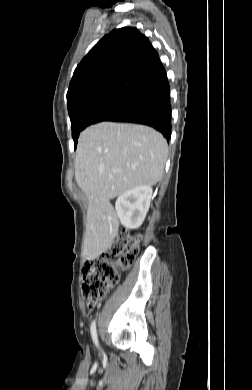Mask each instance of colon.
Wrapping results in <instances>:
<instances>
[{"instance_id":"obj_1","label":"colon","mask_w":252,"mask_h":390,"mask_svg":"<svg viewBox=\"0 0 252 390\" xmlns=\"http://www.w3.org/2000/svg\"><path fill=\"white\" fill-rule=\"evenodd\" d=\"M140 235H120L104 254L88 261L82 271V289L89 306L97 304L117 283V268L134 263L139 252Z\"/></svg>"}]
</instances>
